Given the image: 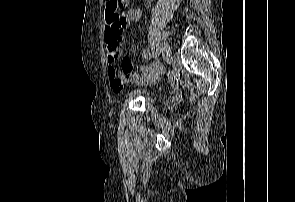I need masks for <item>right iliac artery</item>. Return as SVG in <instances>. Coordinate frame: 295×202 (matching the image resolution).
<instances>
[{"label":"right iliac artery","instance_id":"obj_1","mask_svg":"<svg viewBox=\"0 0 295 202\" xmlns=\"http://www.w3.org/2000/svg\"><path fill=\"white\" fill-rule=\"evenodd\" d=\"M160 53H161V48L160 47L156 48V54L160 55Z\"/></svg>","mask_w":295,"mask_h":202}]
</instances>
